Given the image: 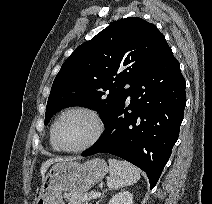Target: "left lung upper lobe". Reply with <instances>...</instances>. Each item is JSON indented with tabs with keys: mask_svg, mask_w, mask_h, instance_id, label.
<instances>
[{
	"mask_svg": "<svg viewBox=\"0 0 212 204\" xmlns=\"http://www.w3.org/2000/svg\"><path fill=\"white\" fill-rule=\"evenodd\" d=\"M169 48L157 27L141 18L111 23L77 47L62 65L48 98L45 125L69 106L98 110L104 121Z\"/></svg>",
	"mask_w": 212,
	"mask_h": 204,
	"instance_id": "obj_1",
	"label": "left lung upper lobe"
}]
</instances>
